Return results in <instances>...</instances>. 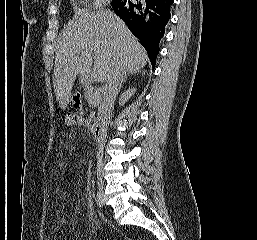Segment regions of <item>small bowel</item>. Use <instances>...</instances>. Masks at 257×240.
Listing matches in <instances>:
<instances>
[{
	"label": "small bowel",
	"instance_id": "obj_1",
	"mask_svg": "<svg viewBox=\"0 0 257 240\" xmlns=\"http://www.w3.org/2000/svg\"><path fill=\"white\" fill-rule=\"evenodd\" d=\"M60 223L64 225V224H67V221H65L64 219H62V220L60 221Z\"/></svg>",
	"mask_w": 257,
	"mask_h": 240
}]
</instances>
